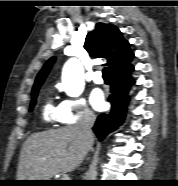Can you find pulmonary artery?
<instances>
[{"label": "pulmonary artery", "instance_id": "obj_1", "mask_svg": "<svg viewBox=\"0 0 178 186\" xmlns=\"http://www.w3.org/2000/svg\"><path fill=\"white\" fill-rule=\"evenodd\" d=\"M93 81L96 83V84H102L103 83V78H102V75H101V72L97 71L93 74V77H92Z\"/></svg>", "mask_w": 178, "mask_h": 186}]
</instances>
